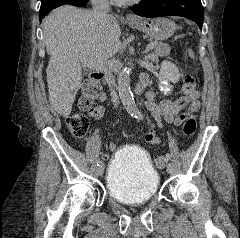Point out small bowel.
<instances>
[{
	"label": "small bowel",
	"instance_id": "small-bowel-1",
	"mask_svg": "<svg viewBox=\"0 0 240 238\" xmlns=\"http://www.w3.org/2000/svg\"><path fill=\"white\" fill-rule=\"evenodd\" d=\"M199 91H194L191 95H185L176 99H165L159 103L154 101L153 92H148L146 107L151 113L153 126L162 127L163 123H172L176 126L182 124L186 118L195 117V113L200 109ZM107 96L100 94L98 101H106ZM89 114L99 119L104 115L105 109L100 104H95L88 109ZM145 141L149 146H155L159 143V138L154 131L149 132L145 136ZM110 151H118V146H113L114 142L110 141ZM102 162H110L108 154H101Z\"/></svg>",
	"mask_w": 240,
	"mask_h": 238
}]
</instances>
